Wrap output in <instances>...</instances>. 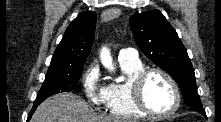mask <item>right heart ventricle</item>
I'll use <instances>...</instances> for the list:
<instances>
[{
    "instance_id": "1",
    "label": "right heart ventricle",
    "mask_w": 221,
    "mask_h": 122,
    "mask_svg": "<svg viewBox=\"0 0 221 122\" xmlns=\"http://www.w3.org/2000/svg\"><path fill=\"white\" fill-rule=\"evenodd\" d=\"M122 73L126 79L124 81H115L106 86L107 94L105 105L111 115L124 118H142L145 117L132 98L131 82L133 78L144 69L142 63L119 60Z\"/></svg>"
}]
</instances>
